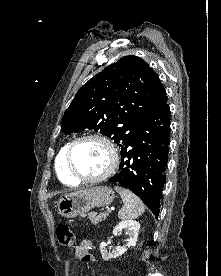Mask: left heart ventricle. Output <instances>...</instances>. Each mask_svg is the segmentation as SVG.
Listing matches in <instances>:
<instances>
[{
	"label": "left heart ventricle",
	"mask_w": 221,
	"mask_h": 276,
	"mask_svg": "<svg viewBox=\"0 0 221 276\" xmlns=\"http://www.w3.org/2000/svg\"><path fill=\"white\" fill-rule=\"evenodd\" d=\"M109 161L110 154L107 147L98 140L81 141L72 153L74 169L85 177L100 175L108 167Z\"/></svg>",
	"instance_id": "left-heart-ventricle-1"
}]
</instances>
